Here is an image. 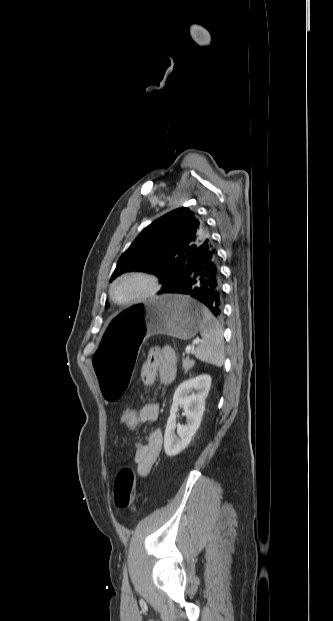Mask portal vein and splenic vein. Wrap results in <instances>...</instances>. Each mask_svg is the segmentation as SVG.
Masks as SVG:
<instances>
[{"label":"portal vein and splenic vein","instance_id":"portal-vein-and-splenic-vein-1","mask_svg":"<svg viewBox=\"0 0 333 621\" xmlns=\"http://www.w3.org/2000/svg\"><path fill=\"white\" fill-rule=\"evenodd\" d=\"M200 341L201 340L197 338L196 340L193 341L192 346L199 344ZM192 346L190 345L185 349L186 354H189L191 352Z\"/></svg>","mask_w":333,"mask_h":621}]
</instances>
